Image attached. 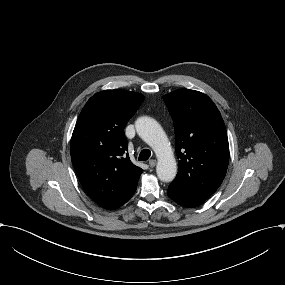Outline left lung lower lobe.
<instances>
[{
	"instance_id": "obj_1",
	"label": "left lung lower lobe",
	"mask_w": 285,
	"mask_h": 285,
	"mask_svg": "<svg viewBox=\"0 0 285 285\" xmlns=\"http://www.w3.org/2000/svg\"><path fill=\"white\" fill-rule=\"evenodd\" d=\"M168 196L179 205L189 208L197 207L205 201L183 192L172 184L168 187Z\"/></svg>"
}]
</instances>
